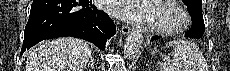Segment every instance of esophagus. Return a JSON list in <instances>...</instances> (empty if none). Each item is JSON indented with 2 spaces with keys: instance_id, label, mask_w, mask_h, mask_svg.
<instances>
[{
  "instance_id": "obj_1",
  "label": "esophagus",
  "mask_w": 230,
  "mask_h": 71,
  "mask_svg": "<svg viewBox=\"0 0 230 71\" xmlns=\"http://www.w3.org/2000/svg\"><path fill=\"white\" fill-rule=\"evenodd\" d=\"M121 32L123 35H128L131 32V27L128 25H123L121 27Z\"/></svg>"
}]
</instances>
